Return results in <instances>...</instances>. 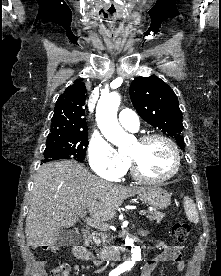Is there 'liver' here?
<instances>
[{
	"label": "liver",
	"instance_id": "obj_1",
	"mask_svg": "<svg viewBox=\"0 0 221 276\" xmlns=\"http://www.w3.org/2000/svg\"><path fill=\"white\" fill-rule=\"evenodd\" d=\"M143 191L109 183L75 161L45 164L34 179L25 226L27 245L52 247L61 228L73 226L86 209L95 223L108 221L125 199Z\"/></svg>",
	"mask_w": 221,
	"mask_h": 276
}]
</instances>
